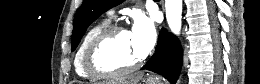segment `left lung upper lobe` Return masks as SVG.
<instances>
[{"instance_id":"1","label":"left lung upper lobe","mask_w":260,"mask_h":84,"mask_svg":"<svg viewBox=\"0 0 260 84\" xmlns=\"http://www.w3.org/2000/svg\"><path fill=\"white\" fill-rule=\"evenodd\" d=\"M123 0H83L82 6L74 17V29L72 33V50L78 46L88 26L102 13L120 4Z\"/></svg>"}]
</instances>
